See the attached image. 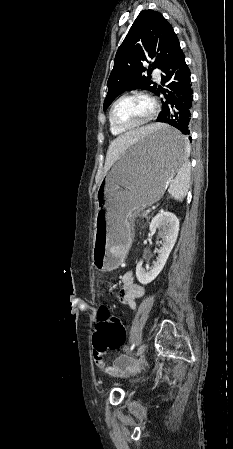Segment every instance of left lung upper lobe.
Segmentation results:
<instances>
[{
	"mask_svg": "<svg viewBox=\"0 0 233 449\" xmlns=\"http://www.w3.org/2000/svg\"><path fill=\"white\" fill-rule=\"evenodd\" d=\"M179 49L178 37L162 14L141 11L116 53L107 82L104 111L124 91L140 88L155 93L156 84L144 72L150 73L151 68L162 69ZM149 60L153 63L146 69L142 63Z\"/></svg>",
	"mask_w": 233,
	"mask_h": 449,
	"instance_id": "left-lung-upper-lobe-1",
	"label": "left lung upper lobe"
}]
</instances>
